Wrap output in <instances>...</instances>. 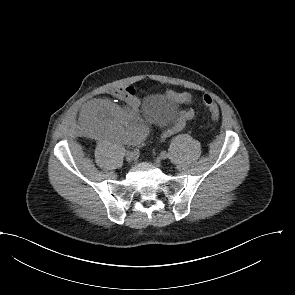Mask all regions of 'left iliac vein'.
Here are the masks:
<instances>
[{
  "label": "left iliac vein",
  "instance_id": "1",
  "mask_svg": "<svg viewBox=\"0 0 295 295\" xmlns=\"http://www.w3.org/2000/svg\"><path fill=\"white\" fill-rule=\"evenodd\" d=\"M168 156V155H167ZM163 159H166V158H163V157H157L156 159H155V164L157 165V166H160L161 165V163H162V160Z\"/></svg>",
  "mask_w": 295,
  "mask_h": 295
}]
</instances>
